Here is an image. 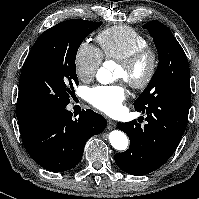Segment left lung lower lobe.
<instances>
[{
	"mask_svg": "<svg viewBox=\"0 0 199 199\" xmlns=\"http://www.w3.org/2000/svg\"><path fill=\"white\" fill-rule=\"evenodd\" d=\"M190 106L159 103L147 111V124L136 120L118 123L130 139V147L115 154V162L124 172L142 176L161 167L176 150L187 126Z\"/></svg>",
	"mask_w": 199,
	"mask_h": 199,
	"instance_id": "obj_1",
	"label": "left lung lower lobe"
}]
</instances>
